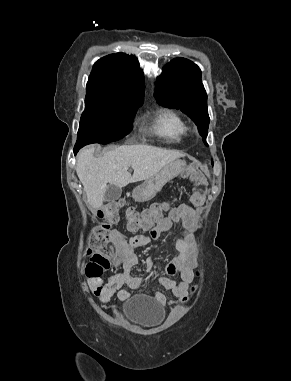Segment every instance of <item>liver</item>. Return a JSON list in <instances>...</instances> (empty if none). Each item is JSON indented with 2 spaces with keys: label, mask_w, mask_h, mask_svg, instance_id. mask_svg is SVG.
Returning <instances> with one entry per match:
<instances>
[{
  "label": "liver",
  "mask_w": 291,
  "mask_h": 381,
  "mask_svg": "<svg viewBox=\"0 0 291 381\" xmlns=\"http://www.w3.org/2000/svg\"><path fill=\"white\" fill-rule=\"evenodd\" d=\"M93 153L94 147L80 151L76 172L89 204L95 209L102 206L108 184L122 188L129 183L149 179L169 163L184 156L179 151L143 144L121 146L100 158H95ZM129 167L134 170L132 176L128 172Z\"/></svg>",
  "instance_id": "liver-1"
}]
</instances>
